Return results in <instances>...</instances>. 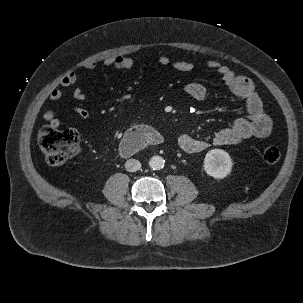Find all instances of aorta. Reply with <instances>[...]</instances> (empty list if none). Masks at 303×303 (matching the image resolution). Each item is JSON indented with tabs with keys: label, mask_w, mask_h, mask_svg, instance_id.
Instances as JSON below:
<instances>
[{
	"label": "aorta",
	"mask_w": 303,
	"mask_h": 303,
	"mask_svg": "<svg viewBox=\"0 0 303 303\" xmlns=\"http://www.w3.org/2000/svg\"><path fill=\"white\" fill-rule=\"evenodd\" d=\"M165 160L161 156H153L149 161V166L153 170H160L164 167Z\"/></svg>",
	"instance_id": "obj_1"
}]
</instances>
